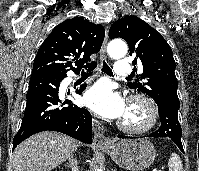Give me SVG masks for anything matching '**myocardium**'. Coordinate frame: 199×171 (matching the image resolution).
<instances>
[{
  "label": "myocardium",
  "instance_id": "1",
  "mask_svg": "<svg viewBox=\"0 0 199 171\" xmlns=\"http://www.w3.org/2000/svg\"><path fill=\"white\" fill-rule=\"evenodd\" d=\"M137 106L141 109L143 117L137 123H131L122 119L118 127L128 134H142L151 130L158 120V109L155 102L144 94H133L128 99V107Z\"/></svg>",
  "mask_w": 199,
  "mask_h": 171
}]
</instances>
